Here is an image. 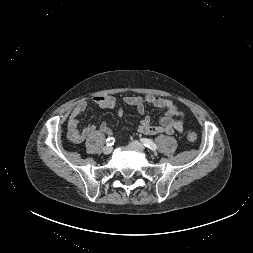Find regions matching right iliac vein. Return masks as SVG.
I'll list each match as a JSON object with an SVG mask.
<instances>
[{
    "instance_id": "obj_1",
    "label": "right iliac vein",
    "mask_w": 253,
    "mask_h": 253,
    "mask_svg": "<svg viewBox=\"0 0 253 253\" xmlns=\"http://www.w3.org/2000/svg\"><path fill=\"white\" fill-rule=\"evenodd\" d=\"M111 152H112V147H110V146H105V147L103 148V153H104V154L108 155V154H110Z\"/></svg>"
}]
</instances>
